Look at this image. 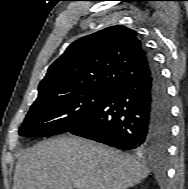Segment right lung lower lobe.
I'll list each match as a JSON object with an SVG mask.
<instances>
[{"mask_svg": "<svg viewBox=\"0 0 188 189\" xmlns=\"http://www.w3.org/2000/svg\"><path fill=\"white\" fill-rule=\"evenodd\" d=\"M149 72L112 90L69 133L122 150L165 153L171 137L170 100L157 65L148 54Z\"/></svg>", "mask_w": 188, "mask_h": 189, "instance_id": "98d812e1", "label": "right lung lower lobe"}]
</instances>
